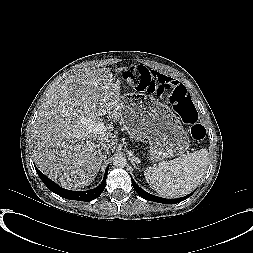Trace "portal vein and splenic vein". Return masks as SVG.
I'll return each mask as SVG.
<instances>
[{
  "label": "portal vein and splenic vein",
  "instance_id": "portal-vein-and-splenic-vein-1",
  "mask_svg": "<svg viewBox=\"0 0 253 253\" xmlns=\"http://www.w3.org/2000/svg\"><path fill=\"white\" fill-rule=\"evenodd\" d=\"M81 123L86 127L89 133L104 134L107 131V127L104 122H96L91 118H81Z\"/></svg>",
  "mask_w": 253,
  "mask_h": 253
}]
</instances>
